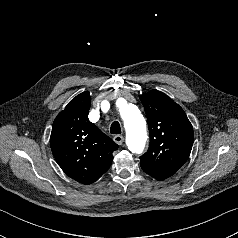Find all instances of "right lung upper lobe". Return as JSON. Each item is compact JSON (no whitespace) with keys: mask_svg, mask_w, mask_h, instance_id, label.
I'll use <instances>...</instances> for the list:
<instances>
[{"mask_svg":"<svg viewBox=\"0 0 238 238\" xmlns=\"http://www.w3.org/2000/svg\"><path fill=\"white\" fill-rule=\"evenodd\" d=\"M90 94L73 98L54 120L50 137L61 169L82 184L98 180L110 167L118 145L88 119Z\"/></svg>","mask_w":238,"mask_h":238,"instance_id":"obj_1","label":"right lung upper lobe"}]
</instances>
